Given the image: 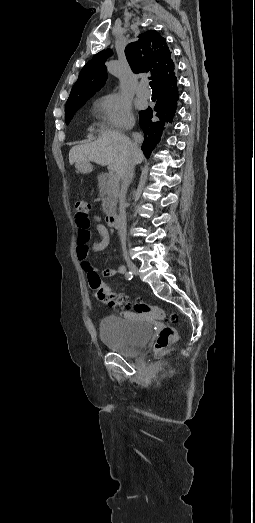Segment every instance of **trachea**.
<instances>
[{
	"mask_svg": "<svg viewBox=\"0 0 255 523\" xmlns=\"http://www.w3.org/2000/svg\"><path fill=\"white\" fill-rule=\"evenodd\" d=\"M150 87L152 88L153 91H155L154 82H150Z\"/></svg>",
	"mask_w": 255,
	"mask_h": 523,
	"instance_id": "trachea-1",
	"label": "trachea"
}]
</instances>
